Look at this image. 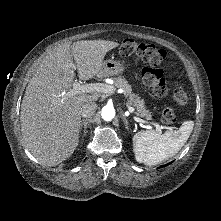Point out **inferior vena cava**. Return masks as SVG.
I'll return each mask as SVG.
<instances>
[{
    "label": "inferior vena cava",
    "mask_w": 221,
    "mask_h": 221,
    "mask_svg": "<svg viewBox=\"0 0 221 221\" xmlns=\"http://www.w3.org/2000/svg\"><path fill=\"white\" fill-rule=\"evenodd\" d=\"M97 109V105L95 102L85 103L80 109V115L84 118L92 116Z\"/></svg>",
    "instance_id": "obj_1"
}]
</instances>
